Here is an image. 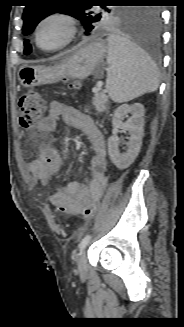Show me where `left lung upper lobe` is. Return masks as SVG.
Wrapping results in <instances>:
<instances>
[{
  "label": "left lung upper lobe",
  "instance_id": "5c2ea615",
  "mask_svg": "<svg viewBox=\"0 0 184 327\" xmlns=\"http://www.w3.org/2000/svg\"><path fill=\"white\" fill-rule=\"evenodd\" d=\"M95 1L77 0L76 5L63 6L55 0H31L23 12V35L30 34L36 25L45 17L53 13H63L71 15L84 24L85 34H89L95 27L104 26L111 23H119L124 26L136 25L141 16L143 9H112L110 6L101 5L92 6L90 3ZM112 2H131L128 0H107ZM42 3V4H41ZM24 54L28 55L32 51L31 45L26 40L24 42Z\"/></svg>",
  "mask_w": 184,
  "mask_h": 327
}]
</instances>
